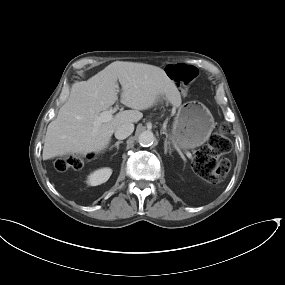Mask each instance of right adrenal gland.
<instances>
[{
  "label": "right adrenal gland",
  "mask_w": 285,
  "mask_h": 285,
  "mask_svg": "<svg viewBox=\"0 0 285 285\" xmlns=\"http://www.w3.org/2000/svg\"><path fill=\"white\" fill-rule=\"evenodd\" d=\"M123 143V141H117L114 145H112L109 150L113 149L114 147L117 148V151L119 150V144Z\"/></svg>",
  "instance_id": "2a0ac1e0"
}]
</instances>
